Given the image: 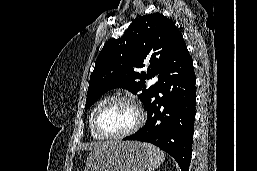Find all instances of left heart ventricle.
I'll return each mask as SVG.
<instances>
[{
	"label": "left heart ventricle",
	"instance_id": "obj_1",
	"mask_svg": "<svg viewBox=\"0 0 257 171\" xmlns=\"http://www.w3.org/2000/svg\"><path fill=\"white\" fill-rule=\"evenodd\" d=\"M138 116L128 103H116L107 107L99 117V127L106 134H120L132 128Z\"/></svg>",
	"mask_w": 257,
	"mask_h": 171
}]
</instances>
